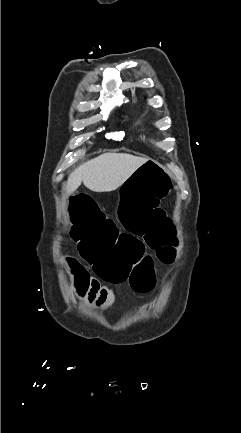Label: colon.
I'll return each instance as SVG.
<instances>
[{
    "instance_id": "obj_1",
    "label": "colon",
    "mask_w": 241,
    "mask_h": 433,
    "mask_svg": "<svg viewBox=\"0 0 241 433\" xmlns=\"http://www.w3.org/2000/svg\"><path fill=\"white\" fill-rule=\"evenodd\" d=\"M167 170L157 157H148L124 182L117 207L121 226L128 233L119 230L115 220H105L101 205L88 192L68 195L72 200L68 210L73 221L71 237L78 256L105 281L118 284L130 280L135 291L149 290L154 283V261L146 253V246L155 251L161 263L174 261L178 231H174L172 213L159 207V201L171 195L178 182ZM65 266L73 272V292L79 303L83 292L90 288L89 272L80 258H66Z\"/></svg>"
}]
</instances>
